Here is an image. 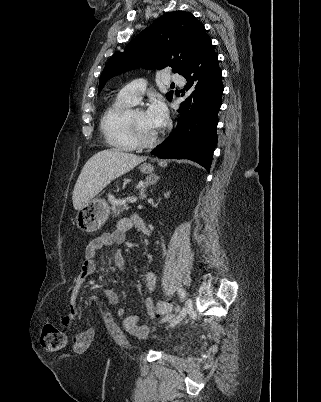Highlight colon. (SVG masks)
Here are the masks:
<instances>
[{
    "label": "colon",
    "mask_w": 321,
    "mask_h": 402,
    "mask_svg": "<svg viewBox=\"0 0 321 402\" xmlns=\"http://www.w3.org/2000/svg\"><path fill=\"white\" fill-rule=\"evenodd\" d=\"M172 312V304L169 301H160L156 306L158 316H166ZM41 345L47 352H57L66 345L65 333L54 324L44 325L41 333Z\"/></svg>",
    "instance_id": "1"
}]
</instances>
